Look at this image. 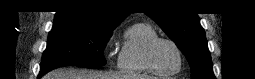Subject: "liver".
Returning <instances> with one entry per match:
<instances>
[{
    "mask_svg": "<svg viewBox=\"0 0 255 79\" xmlns=\"http://www.w3.org/2000/svg\"><path fill=\"white\" fill-rule=\"evenodd\" d=\"M43 79H155L151 76H123L96 70L59 68L46 74Z\"/></svg>",
    "mask_w": 255,
    "mask_h": 79,
    "instance_id": "6515ba94",
    "label": "liver"
}]
</instances>
